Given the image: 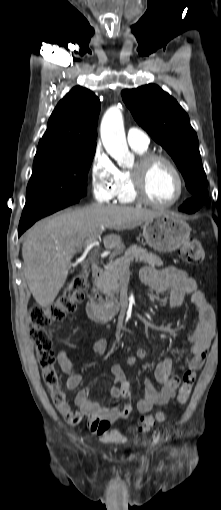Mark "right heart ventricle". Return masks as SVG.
Wrapping results in <instances>:
<instances>
[{"label":"right heart ventricle","instance_id":"right-heart-ventricle-1","mask_svg":"<svg viewBox=\"0 0 221 510\" xmlns=\"http://www.w3.org/2000/svg\"><path fill=\"white\" fill-rule=\"evenodd\" d=\"M132 149L140 156L147 154L148 147L139 148L132 147ZM119 174V185L115 197L121 203H133L135 198L132 193L130 171L126 169L118 170Z\"/></svg>","mask_w":221,"mask_h":510}]
</instances>
